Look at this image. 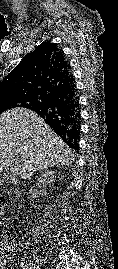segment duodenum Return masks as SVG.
<instances>
[{
    "label": "duodenum",
    "mask_w": 118,
    "mask_h": 269,
    "mask_svg": "<svg viewBox=\"0 0 118 269\" xmlns=\"http://www.w3.org/2000/svg\"><path fill=\"white\" fill-rule=\"evenodd\" d=\"M1 182H2V178H1V176H0V184H1Z\"/></svg>",
    "instance_id": "1"
}]
</instances>
